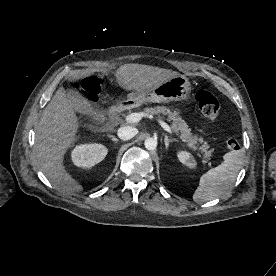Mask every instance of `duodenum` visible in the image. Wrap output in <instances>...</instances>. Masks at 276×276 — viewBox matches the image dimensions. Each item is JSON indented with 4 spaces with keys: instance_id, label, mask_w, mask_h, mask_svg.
<instances>
[{
    "instance_id": "1",
    "label": "duodenum",
    "mask_w": 276,
    "mask_h": 276,
    "mask_svg": "<svg viewBox=\"0 0 276 276\" xmlns=\"http://www.w3.org/2000/svg\"><path fill=\"white\" fill-rule=\"evenodd\" d=\"M123 109H124V105L121 103H115L112 106H110L109 109L107 110V120H106L105 127H108V125L113 123Z\"/></svg>"
}]
</instances>
